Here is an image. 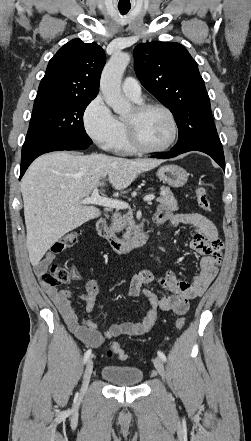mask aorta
I'll list each match as a JSON object with an SVG mask.
<instances>
[{
	"instance_id": "762f6f07",
	"label": "aorta",
	"mask_w": 251,
	"mask_h": 441,
	"mask_svg": "<svg viewBox=\"0 0 251 441\" xmlns=\"http://www.w3.org/2000/svg\"><path fill=\"white\" fill-rule=\"evenodd\" d=\"M130 62L127 53H115L105 65L100 79V90L105 102L119 115H126L131 104L125 100L121 92V79Z\"/></svg>"
}]
</instances>
